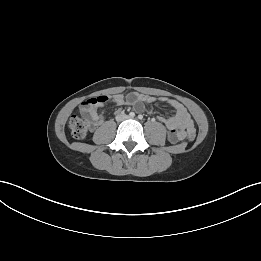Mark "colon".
Segmentation results:
<instances>
[{"mask_svg": "<svg viewBox=\"0 0 261 261\" xmlns=\"http://www.w3.org/2000/svg\"><path fill=\"white\" fill-rule=\"evenodd\" d=\"M105 100V96H99L92 99V102H102ZM90 120L84 115H72L68 121V127L72 136L76 139H82L86 136L90 128ZM195 136V131L188 133V139L192 141Z\"/></svg>", "mask_w": 261, "mask_h": 261, "instance_id": "1", "label": "colon"}]
</instances>
